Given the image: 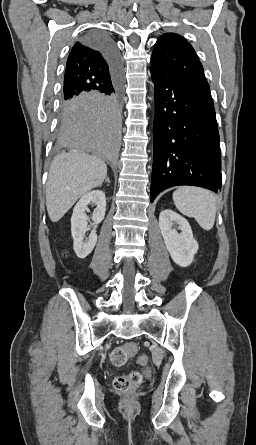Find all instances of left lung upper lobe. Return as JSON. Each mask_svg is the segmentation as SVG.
Returning a JSON list of instances; mask_svg holds the SVG:
<instances>
[{
    "label": "left lung upper lobe",
    "instance_id": "left-lung-upper-lobe-1",
    "mask_svg": "<svg viewBox=\"0 0 256 445\" xmlns=\"http://www.w3.org/2000/svg\"><path fill=\"white\" fill-rule=\"evenodd\" d=\"M151 67L175 73L194 84L209 88L195 50L178 34L166 33L158 38L151 56Z\"/></svg>",
    "mask_w": 256,
    "mask_h": 445
}]
</instances>
